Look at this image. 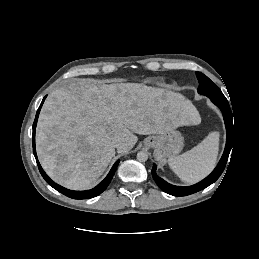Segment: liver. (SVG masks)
<instances>
[{"label": "liver", "mask_w": 259, "mask_h": 259, "mask_svg": "<svg viewBox=\"0 0 259 259\" xmlns=\"http://www.w3.org/2000/svg\"><path fill=\"white\" fill-rule=\"evenodd\" d=\"M200 115L181 94L138 83L100 84L71 79L46 99L37 125L36 150L46 173L72 189L90 187L118 153L138 141L134 134H163L196 125Z\"/></svg>", "instance_id": "1"}]
</instances>
